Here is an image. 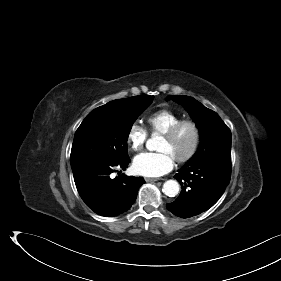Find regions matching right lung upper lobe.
Segmentation results:
<instances>
[{
  "instance_id": "right-lung-upper-lobe-1",
  "label": "right lung upper lobe",
  "mask_w": 281,
  "mask_h": 281,
  "mask_svg": "<svg viewBox=\"0 0 281 281\" xmlns=\"http://www.w3.org/2000/svg\"><path fill=\"white\" fill-rule=\"evenodd\" d=\"M121 100H122V99H118V100L111 101V102L107 103V104L104 105V106H113V105H116V104L120 103Z\"/></svg>"
}]
</instances>
